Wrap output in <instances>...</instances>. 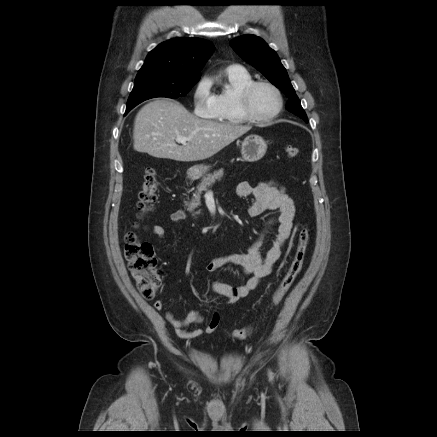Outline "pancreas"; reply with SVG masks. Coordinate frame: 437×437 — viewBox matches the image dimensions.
<instances>
[{
	"mask_svg": "<svg viewBox=\"0 0 437 437\" xmlns=\"http://www.w3.org/2000/svg\"><path fill=\"white\" fill-rule=\"evenodd\" d=\"M223 176V169L215 171L213 174H208L202 178L201 182L197 186V191L193 195V198L190 202H184L185 206H187V210L189 212H193V215H199L200 210L194 212L198 206H201L200 195L203 191H207L208 187L212 186L216 180H220Z\"/></svg>",
	"mask_w": 437,
	"mask_h": 437,
	"instance_id": "obj_1",
	"label": "pancreas"
}]
</instances>
